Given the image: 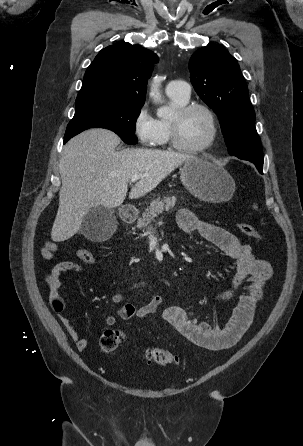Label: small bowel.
Listing matches in <instances>:
<instances>
[{
	"label": "small bowel",
	"instance_id": "small-bowel-1",
	"mask_svg": "<svg viewBox=\"0 0 303 446\" xmlns=\"http://www.w3.org/2000/svg\"><path fill=\"white\" fill-rule=\"evenodd\" d=\"M177 223L184 232L197 234L234 260L235 275L232 286L217 295L215 300L229 302L237 297V302L232 317L223 328L212 327L206 320L198 319L180 306L166 308L163 318L188 341L201 348L212 351L229 349L238 343L251 325L255 308L263 296L264 285L271 277L272 267L268 261L256 258L251 246L241 243L233 233L199 219L188 209L178 211ZM56 251L57 245L53 241H46L40 249V254L44 259L52 260ZM65 272L83 273L84 269L74 261H62L54 265L45 277L50 289L49 298L60 322L75 341L78 350L84 351L88 347V341L80 336L66 316L65 302L58 292L61 287L60 275ZM240 290L243 292L239 294ZM111 301L121 305L116 314L106 316L107 326H113L117 318L147 319L162 305L163 298L159 294H153L146 304L136 307L126 302L124 294L115 293Z\"/></svg>",
	"mask_w": 303,
	"mask_h": 446
}]
</instances>
